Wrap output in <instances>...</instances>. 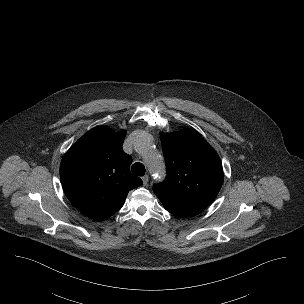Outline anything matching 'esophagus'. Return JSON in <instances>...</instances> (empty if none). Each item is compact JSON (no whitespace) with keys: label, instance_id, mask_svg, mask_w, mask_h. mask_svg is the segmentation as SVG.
I'll return each instance as SVG.
<instances>
[{"label":"esophagus","instance_id":"obj_1","mask_svg":"<svg viewBox=\"0 0 304 304\" xmlns=\"http://www.w3.org/2000/svg\"><path fill=\"white\" fill-rule=\"evenodd\" d=\"M142 181H143V185L146 186L148 184V181H149V176L148 175H144L142 177Z\"/></svg>","mask_w":304,"mask_h":304}]
</instances>
